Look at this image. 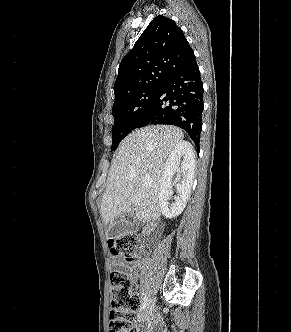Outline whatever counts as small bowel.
<instances>
[{
  "mask_svg": "<svg viewBox=\"0 0 291 332\" xmlns=\"http://www.w3.org/2000/svg\"><path fill=\"white\" fill-rule=\"evenodd\" d=\"M114 265L117 266V267L123 266V264L118 260H115Z\"/></svg>",
  "mask_w": 291,
  "mask_h": 332,
  "instance_id": "1",
  "label": "small bowel"
}]
</instances>
